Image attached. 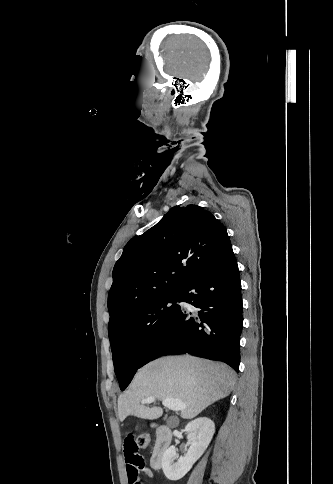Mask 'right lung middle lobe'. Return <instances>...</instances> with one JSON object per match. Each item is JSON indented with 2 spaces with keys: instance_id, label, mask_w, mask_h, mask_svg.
I'll return each instance as SVG.
<instances>
[{
  "instance_id": "right-lung-middle-lobe-1",
  "label": "right lung middle lobe",
  "mask_w": 333,
  "mask_h": 484,
  "mask_svg": "<svg viewBox=\"0 0 333 484\" xmlns=\"http://www.w3.org/2000/svg\"><path fill=\"white\" fill-rule=\"evenodd\" d=\"M180 291L153 298L108 326L115 374L125 390L155 336L177 309Z\"/></svg>"
}]
</instances>
